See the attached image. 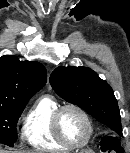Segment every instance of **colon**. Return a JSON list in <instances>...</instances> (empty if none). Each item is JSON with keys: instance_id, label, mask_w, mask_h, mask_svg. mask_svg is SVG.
I'll return each instance as SVG.
<instances>
[{"instance_id": "obj_1", "label": "colon", "mask_w": 130, "mask_h": 153, "mask_svg": "<svg viewBox=\"0 0 130 153\" xmlns=\"http://www.w3.org/2000/svg\"><path fill=\"white\" fill-rule=\"evenodd\" d=\"M102 153H121L122 148L119 142L112 136H106L101 142Z\"/></svg>"}]
</instances>
